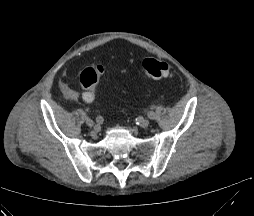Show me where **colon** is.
Segmentation results:
<instances>
[{"instance_id":"5ec220e1","label":"colon","mask_w":254,"mask_h":216,"mask_svg":"<svg viewBox=\"0 0 254 216\" xmlns=\"http://www.w3.org/2000/svg\"><path fill=\"white\" fill-rule=\"evenodd\" d=\"M142 65L145 76L149 79L160 80L172 78L174 76V70L165 61L147 58L143 61ZM103 73L104 68L102 66H96L87 68L80 74V83L92 98L94 97L95 87L97 86Z\"/></svg>"}]
</instances>
